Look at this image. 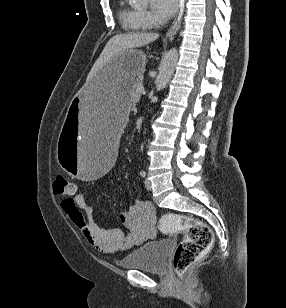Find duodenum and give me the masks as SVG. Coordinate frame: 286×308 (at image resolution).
<instances>
[{
    "mask_svg": "<svg viewBox=\"0 0 286 308\" xmlns=\"http://www.w3.org/2000/svg\"><path fill=\"white\" fill-rule=\"evenodd\" d=\"M142 124H143L142 120H141V119H138V120L136 121V123H135L136 129H138V130L141 129Z\"/></svg>",
    "mask_w": 286,
    "mask_h": 308,
    "instance_id": "1",
    "label": "duodenum"
}]
</instances>
